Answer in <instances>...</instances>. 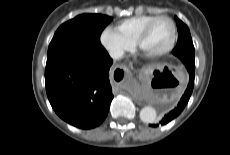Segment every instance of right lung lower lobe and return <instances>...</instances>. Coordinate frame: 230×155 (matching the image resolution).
<instances>
[{"instance_id":"98d812e1","label":"right lung lower lobe","mask_w":230,"mask_h":155,"mask_svg":"<svg viewBox=\"0 0 230 155\" xmlns=\"http://www.w3.org/2000/svg\"><path fill=\"white\" fill-rule=\"evenodd\" d=\"M112 63L107 52L47 61L46 92L56 114L78 128L91 129L100 125L113 99L109 81Z\"/></svg>"}]
</instances>
